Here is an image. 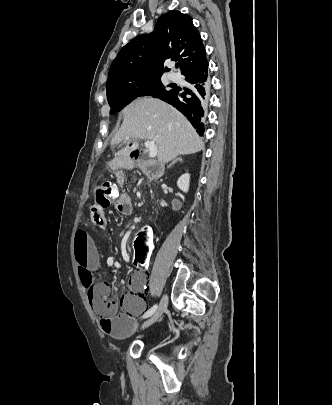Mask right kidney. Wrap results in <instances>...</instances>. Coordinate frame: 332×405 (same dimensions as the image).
<instances>
[{
    "mask_svg": "<svg viewBox=\"0 0 332 405\" xmlns=\"http://www.w3.org/2000/svg\"><path fill=\"white\" fill-rule=\"evenodd\" d=\"M190 183V174L185 173L177 180V186L183 192H188Z\"/></svg>",
    "mask_w": 332,
    "mask_h": 405,
    "instance_id": "ca27d5eb",
    "label": "right kidney"
}]
</instances>
